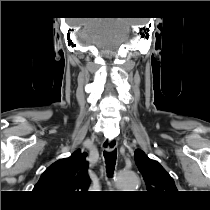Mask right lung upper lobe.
<instances>
[{
	"mask_svg": "<svg viewBox=\"0 0 210 210\" xmlns=\"http://www.w3.org/2000/svg\"><path fill=\"white\" fill-rule=\"evenodd\" d=\"M86 156L78 150L69 158L56 161L44 171L33 191L58 203L76 198L79 191L85 192L91 182Z\"/></svg>",
	"mask_w": 210,
	"mask_h": 210,
	"instance_id": "cb5924a9",
	"label": "right lung upper lobe"
}]
</instances>
